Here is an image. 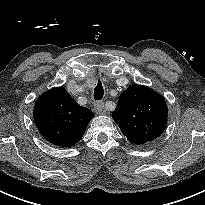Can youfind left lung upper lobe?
<instances>
[{
  "mask_svg": "<svg viewBox=\"0 0 205 205\" xmlns=\"http://www.w3.org/2000/svg\"><path fill=\"white\" fill-rule=\"evenodd\" d=\"M113 119L134 144L160 136L167 123V105L162 95L141 85H131L118 99Z\"/></svg>",
  "mask_w": 205,
  "mask_h": 205,
  "instance_id": "5c2ea615",
  "label": "left lung upper lobe"
}]
</instances>
